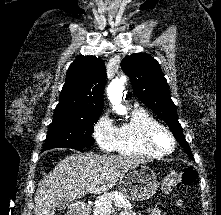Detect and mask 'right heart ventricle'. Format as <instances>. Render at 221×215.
Returning a JSON list of instances; mask_svg holds the SVG:
<instances>
[{
    "label": "right heart ventricle",
    "mask_w": 221,
    "mask_h": 215,
    "mask_svg": "<svg viewBox=\"0 0 221 215\" xmlns=\"http://www.w3.org/2000/svg\"><path fill=\"white\" fill-rule=\"evenodd\" d=\"M160 125L159 121L147 110L136 107L128 120L117 127V136L114 150L122 155L159 157L145 144L147 131Z\"/></svg>",
    "instance_id": "obj_1"
}]
</instances>
